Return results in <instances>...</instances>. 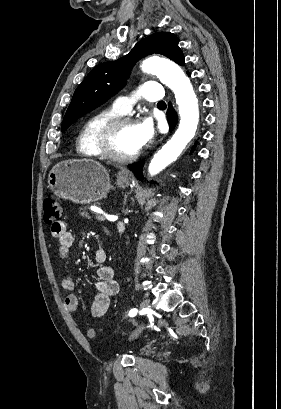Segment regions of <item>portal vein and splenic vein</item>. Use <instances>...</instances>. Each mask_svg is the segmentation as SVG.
<instances>
[{
  "label": "portal vein and splenic vein",
  "mask_w": 281,
  "mask_h": 409,
  "mask_svg": "<svg viewBox=\"0 0 281 409\" xmlns=\"http://www.w3.org/2000/svg\"><path fill=\"white\" fill-rule=\"evenodd\" d=\"M92 204V203H91ZM98 216V220L99 221H104L105 219H108V218H106V216L105 215H97Z\"/></svg>",
  "instance_id": "18ae733b"
}]
</instances>
